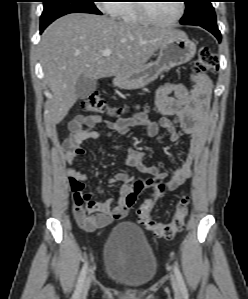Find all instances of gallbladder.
<instances>
[{"label": "gallbladder", "mask_w": 248, "mask_h": 299, "mask_svg": "<svg viewBox=\"0 0 248 299\" xmlns=\"http://www.w3.org/2000/svg\"><path fill=\"white\" fill-rule=\"evenodd\" d=\"M97 88V81L95 79H89L85 76H80L75 84V92L79 99H86Z\"/></svg>", "instance_id": "gallbladder-1"}]
</instances>
